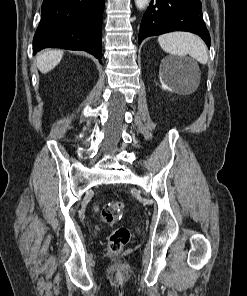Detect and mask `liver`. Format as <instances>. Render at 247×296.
<instances>
[{
  "mask_svg": "<svg viewBox=\"0 0 247 296\" xmlns=\"http://www.w3.org/2000/svg\"><path fill=\"white\" fill-rule=\"evenodd\" d=\"M62 57L63 51L59 49L42 51L36 57L37 67L42 73H48L60 63Z\"/></svg>",
  "mask_w": 247,
  "mask_h": 296,
  "instance_id": "6515ba94",
  "label": "liver"
}]
</instances>
